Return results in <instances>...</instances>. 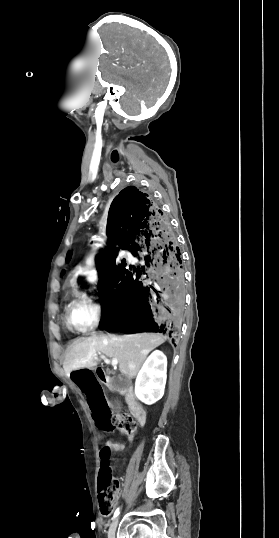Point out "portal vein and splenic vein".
<instances>
[{"label":"portal vein and splenic vein","mask_w":279,"mask_h":538,"mask_svg":"<svg viewBox=\"0 0 279 538\" xmlns=\"http://www.w3.org/2000/svg\"><path fill=\"white\" fill-rule=\"evenodd\" d=\"M99 356L101 357V359L104 361V363L107 365V366H117L118 364V360H110V357L108 355H106V353L104 351H101L99 353Z\"/></svg>","instance_id":"obj_1"}]
</instances>
